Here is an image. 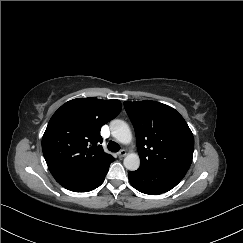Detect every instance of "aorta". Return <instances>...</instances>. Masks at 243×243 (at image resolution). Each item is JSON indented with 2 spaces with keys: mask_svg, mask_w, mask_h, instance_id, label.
<instances>
[{
  "mask_svg": "<svg viewBox=\"0 0 243 243\" xmlns=\"http://www.w3.org/2000/svg\"><path fill=\"white\" fill-rule=\"evenodd\" d=\"M112 136L123 144H128L132 140V133L125 121L116 119L110 123ZM123 164L126 169L130 171H135L140 166V158L136 153H129L124 158Z\"/></svg>",
  "mask_w": 243,
  "mask_h": 243,
  "instance_id": "aorta-1",
  "label": "aorta"
}]
</instances>
